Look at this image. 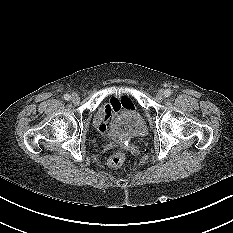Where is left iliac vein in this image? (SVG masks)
I'll return each instance as SVG.
<instances>
[{
  "label": "left iliac vein",
  "mask_w": 233,
  "mask_h": 233,
  "mask_svg": "<svg viewBox=\"0 0 233 233\" xmlns=\"http://www.w3.org/2000/svg\"><path fill=\"white\" fill-rule=\"evenodd\" d=\"M156 97H157V99H160V100L163 99L164 98V92L162 90L158 91L156 93Z\"/></svg>",
  "instance_id": "1"
}]
</instances>
